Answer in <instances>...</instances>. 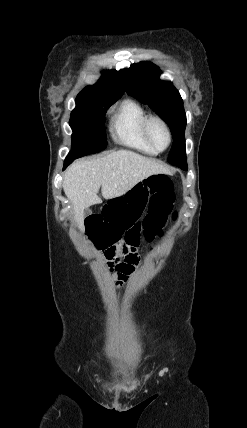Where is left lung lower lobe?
Masks as SVG:
<instances>
[{"label":"left lung lower lobe","instance_id":"1","mask_svg":"<svg viewBox=\"0 0 247 428\" xmlns=\"http://www.w3.org/2000/svg\"><path fill=\"white\" fill-rule=\"evenodd\" d=\"M175 166H177V167H179V168H181L183 170H187V164H177Z\"/></svg>","mask_w":247,"mask_h":428}]
</instances>
